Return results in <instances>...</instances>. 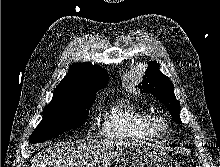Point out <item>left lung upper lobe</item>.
<instances>
[{
	"label": "left lung upper lobe",
	"instance_id": "5c2ea615",
	"mask_svg": "<svg viewBox=\"0 0 220 167\" xmlns=\"http://www.w3.org/2000/svg\"><path fill=\"white\" fill-rule=\"evenodd\" d=\"M138 88L142 92L150 93L158 98L167 107L172 119L177 123H182L179 117L180 103L174 95L173 85L170 79L160 72L159 65L156 61L148 63L144 79L138 85Z\"/></svg>",
	"mask_w": 220,
	"mask_h": 167
}]
</instances>
